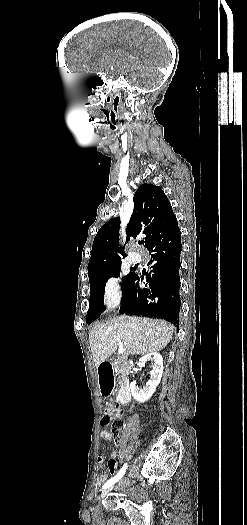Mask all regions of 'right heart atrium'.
Here are the masks:
<instances>
[{"label": "right heart atrium", "instance_id": "d8ad5b80", "mask_svg": "<svg viewBox=\"0 0 247 525\" xmlns=\"http://www.w3.org/2000/svg\"><path fill=\"white\" fill-rule=\"evenodd\" d=\"M103 303L109 308H115L121 298L120 284L117 278L109 277L103 285L102 293Z\"/></svg>", "mask_w": 247, "mask_h": 525}]
</instances>
